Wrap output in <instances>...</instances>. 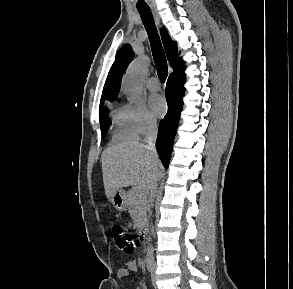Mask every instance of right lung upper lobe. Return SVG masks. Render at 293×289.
I'll return each mask as SVG.
<instances>
[{
  "label": "right lung upper lobe",
  "mask_w": 293,
  "mask_h": 289,
  "mask_svg": "<svg viewBox=\"0 0 293 289\" xmlns=\"http://www.w3.org/2000/svg\"><path fill=\"white\" fill-rule=\"evenodd\" d=\"M161 37L168 61L174 70L170 76H185L184 61L177 58V45L172 41L165 28L161 30ZM133 57L134 53L130 45H123L122 48L118 51L104 85L101 101L104 102L105 99H112L117 97L121 86L122 75L127 66L133 60Z\"/></svg>",
  "instance_id": "cb5924a9"
}]
</instances>
